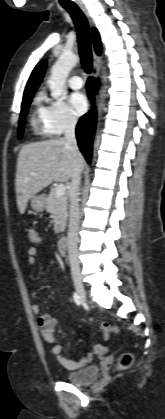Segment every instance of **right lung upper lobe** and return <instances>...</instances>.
<instances>
[{"label": "right lung upper lobe", "mask_w": 165, "mask_h": 419, "mask_svg": "<svg viewBox=\"0 0 165 419\" xmlns=\"http://www.w3.org/2000/svg\"><path fill=\"white\" fill-rule=\"evenodd\" d=\"M92 32H93L92 35H93L95 51L97 54H100L101 51H100L99 33L95 28L92 29ZM46 66H47L46 60H43L36 65V67L32 71L29 77V80L27 82V85L24 91L23 100L34 95L35 91L37 90L38 86L40 85L42 81V78L46 70Z\"/></svg>", "instance_id": "obj_1"}]
</instances>
